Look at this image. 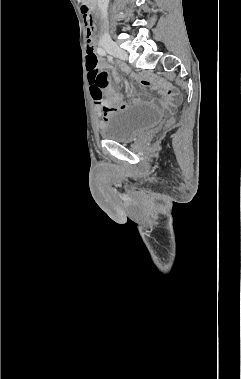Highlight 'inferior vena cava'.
I'll use <instances>...</instances> for the list:
<instances>
[{
  "label": "inferior vena cava",
  "mask_w": 241,
  "mask_h": 379,
  "mask_svg": "<svg viewBox=\"0 0 241 379\" xmlns=\"http://www.w3.org/2000/svg\"><path fill=\"white\" fill-rule=\"evenodd\" d=\"M108 4H109V0H98V8L101 11L102 18H104L105 20L107 19ZM103 37L106 39L110 38L108 32H105Z\"/></svg>",
  "instance_id": "obj_1"
}]
</instances>
